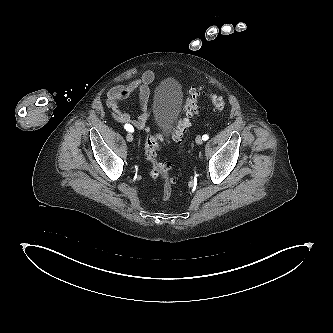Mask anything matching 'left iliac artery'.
Instances as JSON below:
<instances>
[{
  "label": "left iliac artery",
  "mask_w": 333,
  "mask_h": 333,
  "mask_svg": "<svg viewBox=\"0 0 333 333\" xmlns=\"http://www.w3.org/2000/svg\"><path fill=\"white\" fill-rule=\"evenodd\" d=\"M202 139H203L204 141H207V140L209 139V136H208L207 134H205V135L202 136Z\"/></svg>",
  "instance_id": "obj_1"
}]
</instances>
